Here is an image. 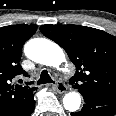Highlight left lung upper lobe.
<instances>
[{
	"label": "left lung upper lobe",
	"mask_w": 116,
	"mask_h": 116,
	"mask_svg": "<svg viewBox=\"0 0 116 116\" xmlns=\"http://www.w3.org/2000/svg\"><path fill=\"white\" fill-rule=\"evenodd\" d=\"M40 31L55 41L76 66L69 83L81 94L116 97V37L95 28L51 25Z\"/></svg>",
	"instance_id": "5c2ea615"
}]
</instances>
